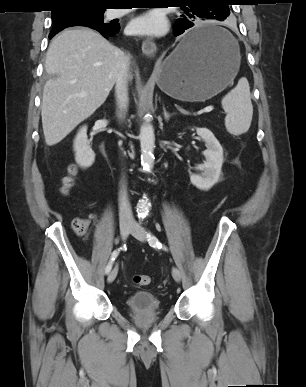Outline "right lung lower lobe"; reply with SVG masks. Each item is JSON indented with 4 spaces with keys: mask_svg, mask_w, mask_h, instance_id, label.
Returning <instances> with one entry per match:
<instances>
[{
    "mask_svg": "<svg viewBox=\"0 0 306 387\" xmlns=\"http://www.w3.org/2000/svg\"><path fill=\"white\" fill-rule=\"evenodd\" d=\"M113 26H105V27H95L93 29L97 30L99 33H101L104 37H110V36H114L115 34H117L120 30V26L119 25H116V24H111ZM57 33H53L51 34V36L49 35L50 39Z\"/></svg>",
    "mask_w": 306,
    "mask_h": 387,
    "instance_id": "right-lung-lower-lobe-1",
    "label": "right lung lower lobe"
}]
</instances>
